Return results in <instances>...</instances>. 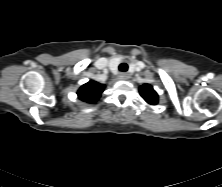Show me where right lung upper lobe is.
<instances>
[{"label":"right lung upper lobe","instance_id":"cb5924a9","mask_svg":"<svg viewBox=\"0 0 222 187\" xmlns=\"http://www.w3.org/2000/svg\"><path fill=\"white\" fill-rule=\"evenodd\" d=\"M104 88V84L91 80L80 87L77 95L78 98L84 102L94 103L100 98Z\"/></svg>","mask_w":222,"mask_h":187}]
</instances>
